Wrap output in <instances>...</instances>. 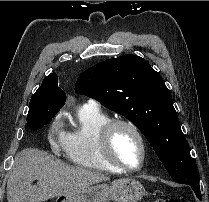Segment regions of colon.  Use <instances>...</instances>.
<instances>
[{"mask_svg": "<svg viewBox=\"0 0 209 202\" xmlns=\"http://www.w3.org/2000/svg\"><path fill=\"white\" fill-rule=\"evenodd\" d=\"M155 202H178V200L170 197V198H159Z\"/></svg>", "mask_w": 209, "mask_h": 202, "instance_id": "5ec220e1", "label": "colon"}]
</instances>
